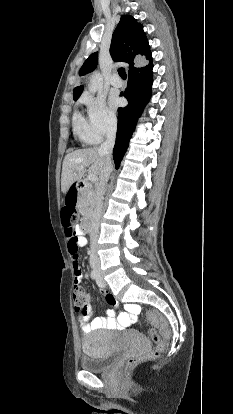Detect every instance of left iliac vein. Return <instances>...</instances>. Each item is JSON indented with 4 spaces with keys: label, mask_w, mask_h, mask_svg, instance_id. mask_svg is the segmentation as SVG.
<instances>
[{
    "label": "left iliac vein",
    "mask_w": 233,
    "mask_h": 414,
    "mask_svg": "<svg viewBox=\"0 0 233 414\" xmlns=\"http://www.w3.org/2000/svg\"><path fill=\"white\" fill-rule=\"evenodd\" d=\"M97 284L99 287L104 288L106 286L102 276L100 273H98V278H97Z\"/></svg>",
    "instance_id": "obj_1"
}]
</instances>
